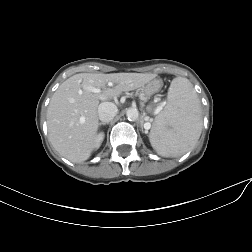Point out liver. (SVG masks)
<instances>
[{
	"instance_id": "6515ba94",
	"label": "liver",
	"mask_w": 252,
	"mask_h": 252,
	"mask_svg": "<svg viewBox=\"0 0 252 252\" xmlns=\"http://www.w3.org/2000/svg\"><path fill=\"white\" fill-rule=\"evenodd\" d=\"M153 79L143 73H80L65 80L53 94L47 110L49 140L54 149L74 163L92 153L99 126L100 100L143 87ZM101 90V93L91 91Z\"/></svg>"
}]
</instances>
